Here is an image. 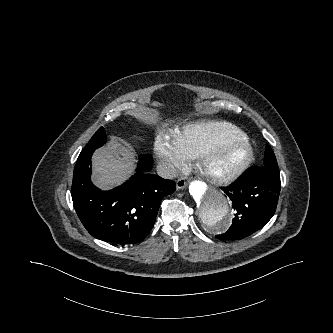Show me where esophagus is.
<instances>
[{
  "label": "esophagus",
  "instance_id": "obj_1",
  "mask_svg": "<svg viewBox=\"0 0 333 333\" xmlns=\"http://www.w3.org/2000/svg\"><path fill=\"white\" fill-rule=\"evenodd\" d=\"M187 186V182L184 178H179L177 181H176V187L178 189H184L186 188Z\"/></svg>",
  "mask_w": 333,
  "mask_h": 333
}]
</instances>
